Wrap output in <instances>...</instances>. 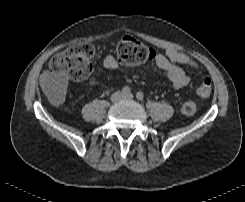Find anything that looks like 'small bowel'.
<instances>
[{
    "label": "small bowel",
    "instance_id": "obj_1",
    "mask_svg": "<svg viewBox=\"0 0 245 202\" xmlns=\"http://www.w3.org/2000/svg\"><path fill=\"white\" fill-rule=\"evenodd\" d=\"M179 54L176 49L170 48L164 54L156 53L153 59L154 65L165 72L174 89H181L189 82V77L185 71L177 65ZM102 63L104 68L108 70H116L119 67L118 59L112 53L107 54L103 58ZM42 83L44 88L60 91L63 88L64 81L49 71H44L42 74Z\"/></svg>",
    "mask_w": 245,
    "mask_h": 202
}]
</instances>
